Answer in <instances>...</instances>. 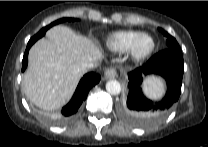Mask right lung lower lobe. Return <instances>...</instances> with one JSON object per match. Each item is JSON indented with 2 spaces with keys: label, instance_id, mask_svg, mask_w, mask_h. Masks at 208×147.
<instances>
[{
  "label": "right lung lower lobe",
  "instance_id": "1",
  "mask_svg": "<svg viewBox=\"0 0 208 147\" xmlns=\"http://www.w3.org/2000/svg\"><path fill=\"white\" fill-rule=\"evenodd\" d=\"M42 36L35 35L29 40L22 60V71H25L28 64V52L30 47ZM100 79V75L96 73L86 74L79 82V85L71 101L62 108L60 113L53 115L51 120L59 124L69 121L78 111L82 102L87 98L89 90L95 86L100 81Z\"/></svg>",
  "mask_w": 208,
  "mask_h": 147
}]
</instances>
